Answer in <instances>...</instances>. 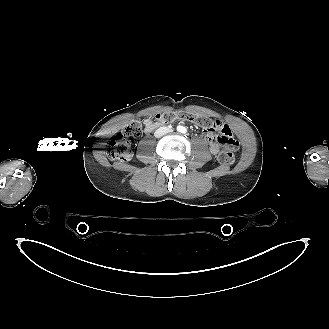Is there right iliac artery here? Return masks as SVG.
Masks as SVG:
<instances>
[{
	"label": "right iliac artery",
	"instance_id": "obj_1",
	"mask_svg": "<svg viewBox=\"0 0 329 329\" xmlns=\"http://www.w3.org/2000/svg\"><path fill=\"white\" fill-rule=\"evenodd\" d=\"M177 129L179 130L180 129V126H178Z\"/></svg>",
	"mask_w": 329,
	"mask_h": 329
}]
</instances>
